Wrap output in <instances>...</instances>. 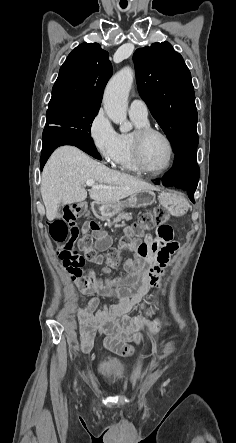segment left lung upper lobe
<instances>
[{"label":"left lung upper lobe","mask_w":236,"mask_h":443,"mask_svg":"<svg viewBox=\"0 0 236 443\" xmlns=\"http://www.w3.org/2000/svg\"><path fill=\"white\" fill-rule=\"evenodd\" d=\"M141 98L148 104L174 152L199 140L191 74L170 43H153L133 55Z\"/></svg>","instance_id":"obj_1"}]
</instances>
